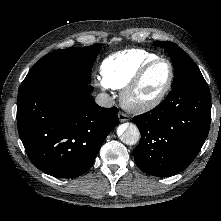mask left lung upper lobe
Here are the masks:
<instances>
[{
  "label": "left lung upper lobe",
  "instance_id": "1",
  "mask_svg": "<svg viewBox=\"0 0 221 221\" xmlns=\"http://www.w3.org/2000/svg\"><path fill=\"white\" fill-rule=\"evenodd\" d=\"M154 45L164 48L172 59L175 69L172 89L185 84L206 83L203 75L191 57L175 43L170 41H155Z\"/></svg>",
  "mask_w": 221,
  "mask_h": 221
}]
</instances>
